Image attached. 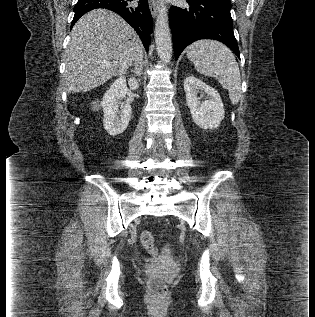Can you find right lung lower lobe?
Segmentation results:
<instances>
[{
	"label": "right lung lower lobe",
	"instance_id": "1",
	"mask_svg": "<svg viewBox=\"0 0 315 317\" xmlns=\"http://www.w3.org/2000/svg\"><path fill=\"white\" fill-rule=\"evenodd\" d=\"M131 1L133 0H78L74 7L75 15L72 26L86 12L96 8H106L119 14L135 29L146 51H148L150 35L153 30L148 0H139L138 7H131Z\"/></svg>",
	"mask_w": 315,
	"mask_h": 317
}]
</instances>
